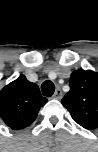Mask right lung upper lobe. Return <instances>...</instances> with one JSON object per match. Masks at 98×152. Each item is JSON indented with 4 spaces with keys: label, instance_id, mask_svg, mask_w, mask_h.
Segmentation results:
<instances>
[{
    "label": "right lung upper lobe",
    "instance_id": "right-lung-upper-lobe-1",
    "mask_svg": "<svg viewBox=\"0 0 98 152\" xmlns=\"http://www.w3.org/2000/svg\"><path fill=\"white\" fill-rule=\"evenodd\" d=\"M47 99L24 75L0 91V118L13 130L23 129L36 119Z\"/></svg>",
    "mask_w": 98,
    "mask_h": 152
}]
</instances>
